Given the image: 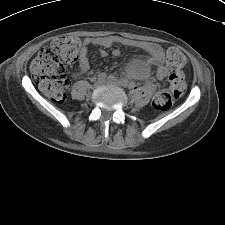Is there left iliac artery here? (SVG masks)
Segmentation results:
<instances>
[{
  "instance_id": "1",
  "label": "left iliac artery",
  "mask_w": 225,
  "mask_h": 225,
  "mask_svg": "<svg viewBox=\"0 0 225 225\" xmlns=\"http://www.w3.org/2000/svg\"><path fill=\"white\" fill-rule=\"evenodd\" d=\"M121 83H122V85L125 86V87H126V86H130V84L128 83V80H127V79H124V78L121 79Z\"/></svg>"
}]
</instances>
